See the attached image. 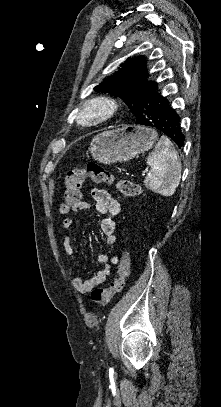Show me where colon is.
Here are the masks:
<instances>
[{"label":"colon","mask_w":221,"mask_h":407,"mask_svg":"<svg viewBox=\"0 0 221 407\" xmlns=\"http://www.w3.org/2000/svg\"><path fill=\"white\" fill-rule=\"evenodd\" d=\"M97 184H116L119 191L130 198L137 197L141 193L139 184L130 180L116 181L113 174L103 165L97 162H88L83 168H75L65 176L64 192L60 210L68 211L76 206L82 198V186L86 179ZM131 270V256L128 250H124L117 265V276L107 288H96L92 291V301L101 306H106L114 295L120 293L124 287Z\"/></svg>","instance_id":"colon-1"}]
</instances>
